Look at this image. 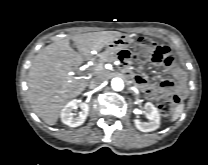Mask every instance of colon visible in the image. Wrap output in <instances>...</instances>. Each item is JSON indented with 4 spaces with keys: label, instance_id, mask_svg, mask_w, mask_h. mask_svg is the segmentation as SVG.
I'll use <instances>...</instances> for the list:
<instances>
[{
    "label": "colon",
    "instance_id": "colon-1",
    "mask_svg": "<svg viewBox=\"0 0 208 165\" xmlns=\"http://www.w3.org/2000/svg\"><path fill=\"white\" fill-rule=\"evenodd\" d=\"M134 53L135 57L140 61L149 60L167 67L175 64V58L167 46L157 44L146 37H140L137 40ZM181 95L182 90H178L172 96H160L156 101L157 108L164 115L171 114L179 103Z\"/></svg>",
    "mask_w": 208,
    "mask_h": 165
}]
</instances>
